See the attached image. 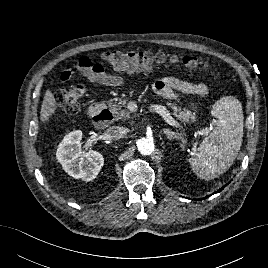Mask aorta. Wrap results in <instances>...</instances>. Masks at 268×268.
Listing matches in <instances>:
<instances>
[{"instance_id": "762f6f07", "label": "aorta", "mask_w": 268, "mask_h": 268, "mask_svg": "<svg viewBox=\"0 0 268 268\" xmlns=\"http://www.w3.org/2000/svg\"><path fill=\"white\" fill-rule=\"evenodd\" d=\"M154 142L152 139L150 138H140L137 141V148L138 151L142 154V155H150L153 151H154Z\"/></svg>"}]
</instances>
